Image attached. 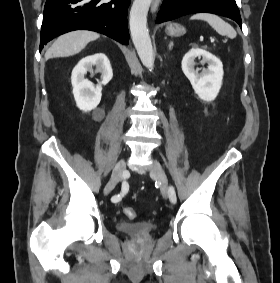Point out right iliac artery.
<instances>
[{
  "instance_id": "obj_1",
  "label": "right iliac artery",
  "mask_w": 280,
  "mask_h": 283,
  "mask_svg": "<svg viewBox=\"0 0 280 283\" xmlns=\"http://www.w3.org/2000/svg\"><path fill=\"white\" fill-rule=\"evenodd\" d=\"M127 187V185H126V183L124 182L123 184H122V192L120 193V194H118V195H114L112 198H111V201L113 202V203H118V202H120L121 201V199H122V197L125 195V188Z\"/></svg>"
}]
</instances>
